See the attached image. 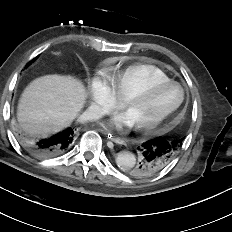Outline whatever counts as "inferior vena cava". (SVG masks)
Returning a JSON list of instances; mask_svg holds the SVG:
<instances>
[{"mask_svg": "<svg viewBox=\"0 0 232 232\" xmlns=\"http://www.w3.org/2000/svg\"><path fill=\"white\" fill-rule=\"evenodd\" d=\"M85 115L88 119H99L103 112L98 105H91Z\"/></svg>", "mask_w": 232, "mask_h": 232, "instance_id": "obj_1", "label": "inferior vena cava"}]
</instances>
